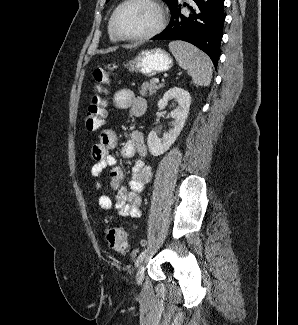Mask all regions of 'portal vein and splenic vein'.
Masks as SVG:
<instances>
[{
  "instance_id": "obj_1",
  "label": "portal vein and splenic vein",
  "mask_w": 298,
  "mask_h": 325,
  "mask_svg": "<svg viewBox=\"0 0 298 325\" xmlns=\"http://www.w3.org/2000/svg\"><path fill=\"white\" fill-rule=\"evenodd\" d=\"M154 82H159V78H155Z\"/></svg>"
}]
</instances>
